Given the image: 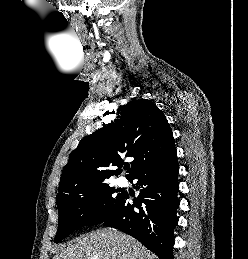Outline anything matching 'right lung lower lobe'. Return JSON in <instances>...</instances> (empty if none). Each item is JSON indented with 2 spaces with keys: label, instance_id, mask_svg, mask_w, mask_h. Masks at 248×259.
I'll return each instance as SVG.
<instances>
[{
  "label": "right lung lower lobe",
  "instance_id": "1",
  "mask_svg": "<svg viewBox=\"0 0 248 259\" xmlns=\"http://www.w3.org/2000/svg\"><path fill=\"white\" fill-rule=\"evenodd\" d=\"M177 154L138 170L130 179L138 180L140 194L129 204L126 192L116 213L103 222L139 240L160 259H173V231L179 207Z\"/></svg>",
  "mask_w": 248,
  "mask_h": 259
}]
</instances>
